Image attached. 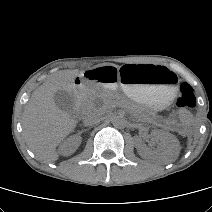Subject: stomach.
Returning <instances> with one entry per match:
<instances>
[{
  "label": "stomach",
  "instance_id": "0dacf381",
  "mask_svg": "<svg viewBox=\"0 0 212 212\" xmlns=\"http://www.w3.org/2000/svg\"><path fill=\"white\" fill-rule=\"evenodd\" d=\"M88 82H105L123 91L132 100L153 110L162 109L174 98L176 76L160 65H101L88 67L83 72Z\"/></svg>",
  "mask_w": 212,
  "mask_h": 212
}]
</instances>
